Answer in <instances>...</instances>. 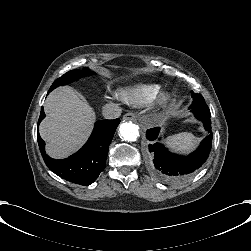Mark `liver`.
Returning a JSON list of instances; mask_svg holds the SVG:
<instances>
[{"label": "liver", "mask_w": 251, "mask_h": 251, "mask_svg": "<svg viewBox=\"0 0 251 251\" xmlns=\"http://www.w3.org/2000/svg\"><path fill=\"white\" fill-rule=\"evenodd\" d=\"M45 119L39 133L47 143L46 152L56 159L67 157L81 147L91 134L95 112L85 98L70 86L53 90L44 103Z\"/></svg>", "instance_id": "1"}]
</instances>
